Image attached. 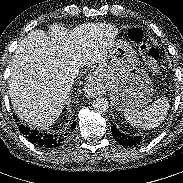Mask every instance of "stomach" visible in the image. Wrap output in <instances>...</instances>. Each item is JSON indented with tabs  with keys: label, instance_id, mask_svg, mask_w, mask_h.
I'll return each instance as SVG.
<instances>
[{
	"label": "stomach",
	"instance_id": "stomach-1",
	"mask_svg": "<svg viewBox=\"0 0 183 183\" xmlns=\"http://www.w3.org/2000/svg\"><path fill=\"white\" fill-rule=\"evenodd\" d=\"M137 63L135 50L121 39L113 41L99 63L96 84L110 93L116 110H140L152 100V81Z\"/></svg>",
	"mask_w": 183,
	"mask_h": 183
}]
</instances>
